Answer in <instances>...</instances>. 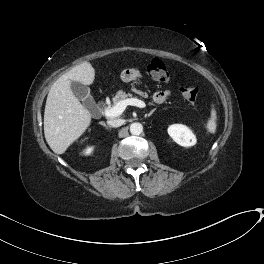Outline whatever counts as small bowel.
<instances>
[{
  "label": "small bowel",
  "mask_w": 264,
  "mask_h": 264,
  "mask_svg": "<svg viewBox=\"0 0 264 264\" xmlns=\"http://www.w3.org/2000/svg\"><path fill=\"white\" fill-rule=\"evenodd\" d=\"M170 96L169 91H158L153 95V101L157 104L165 102Z\"/></svg>",
  "instance_id": "1"
}]
</instances>
